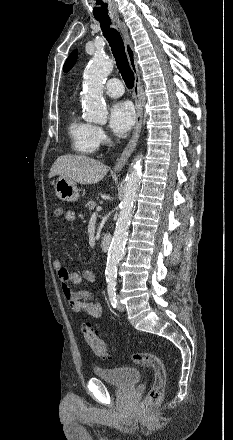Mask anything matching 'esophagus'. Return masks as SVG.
<instances>
[{
	"label": "esophagus",
	"instance_id": "1",
	"mask_svg": "<svg viewBox=\"0 0 233 440\" xmlns=\"http://www.w3.org/2000/svg\"><path fill=\"white\" fill-rule=\"evenodd\" d=\"M115 21L117 23V26L121 30V33L123 34L126 55L128 58L130 68L134 73L135 81H134L133 95H134V100H135V108H136V112H137L136 124H135L134 130H133V134L131 136V139L128 142L125 149L123 150L116 165L114 166V171L119 172L122 170V168L124 167L125 163L127 162L128 158L130 157V155L132 154V152L134 151V149L137 145L140 131H141L143 112H142V105H141V79H140V73H139V69H138L137 57L134 52V49H133L131 40L129 38L128 31H127L125 24L119 18H115Z\"/></svg>",
	"mask_w": 233,
	"mask_h": 440
}]
</instances>
